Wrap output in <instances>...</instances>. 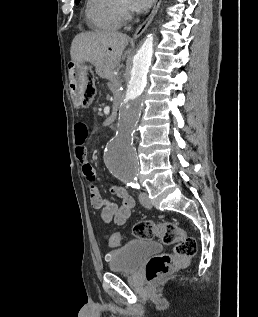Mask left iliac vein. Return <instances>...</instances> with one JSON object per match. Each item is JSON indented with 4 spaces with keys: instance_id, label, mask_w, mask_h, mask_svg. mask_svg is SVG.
Wrapping results in <instances>:
<instances>
[{
    "instance_id": "4c4485c4",
    "label": "left iliac vein",
    "mask_w": 258,
    "mask_h": 317,
    "mask_svg": "<svg viewBox=\"0 0 258 317\" xmlns=\"http://www.w3.org/2000/svg\"><path fill=\"white\" fill-rule=\"evenodd\" d=\"M138 200L141 202V203H144L145 204V207L147 209H152L153 208V203L149 200V195L145 192H140L139 195H138Z\"/></svg>"
}]
</instances>
